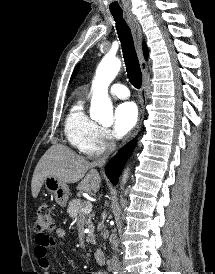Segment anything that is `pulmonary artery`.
<instances>
[{"label":"pulmonary artery","instance_id":"1","mask_svg":"<svg viewBox=\"0 0 215 274\" xmlns=\"http://www.w3.org/2000/svg\"><path fill=\"white\" fill-rule=\"evenodd\" d=\"M110 93L120 99H126L129 97V91L127 87L120 83H115L110 87Z\"/></svg>","mask_w":215,"mask_h":274}]
</instances>
